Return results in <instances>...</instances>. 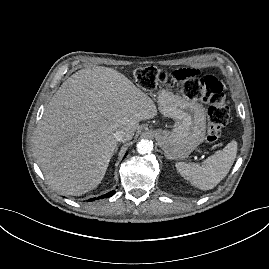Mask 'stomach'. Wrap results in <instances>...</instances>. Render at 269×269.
Returning a JSON list of instances; mask_svg holds the SVG:
<instances>
[{"label":"stomach","instance_id":"stomach-1","mask_svg":"<svg viewBox=\"0 0 269 269\" xmlns=\"http://www.w3.org/2000/svg\"><path fill=\"white\" fill-rule=\"evenodd\" d=\"M157 102L160 112L176 121L172 131H153L159 147L167 159L187 158L206 137V116L202 105L165 90L160 91Z\"/></svg>","mask_w":269,"mask_h":269}]
</instances>
